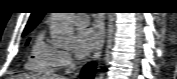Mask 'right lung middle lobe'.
Wrapping results in <instances>:
<instances>
[{
	"label": "right lung middle lobe",
	"mask_w": 177,
	"mask_h": 79,
	"mask_svg": "<svg viewBox=\"0 0 177 79\" xmlns=\"http://www.w3.org/2000/svg\"><path fill=\"white\" fill-rule=\"evenodd\" d=\"M34 27H29V28H25L22 36H25L26 34H28Z\"/></svg>",
	"instance_id": "1"
}]
</instances>
